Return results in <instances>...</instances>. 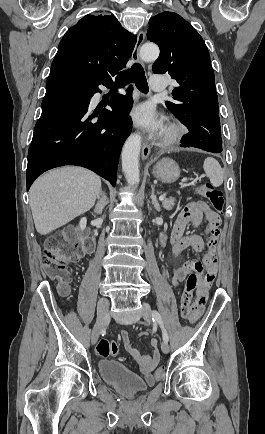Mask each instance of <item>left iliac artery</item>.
Segmentation results:
<instances>
[{
  "label": "left iliac artery",
  "mask_w": 265,
  "mask_h": 434,
  "mask_svg": "<svg viewBox=\"0 0 265 434\" xmlns=\"http://www.w3.org/2000/svg\"><path fill=\"white\" fill-rule=\"evenodd\" d=\"M152 317H153V321L158 322L159 325L161 326V329H162V335H163V340H164L165 342H168V340H169V336H168V333H167V331H166V329H165V327H164V324H163V321H162V318H161L160 314H159L156 310H154V311L152 312Z\"/></svg>",
  "instance_id": "obj_1"
}]
</instances>
